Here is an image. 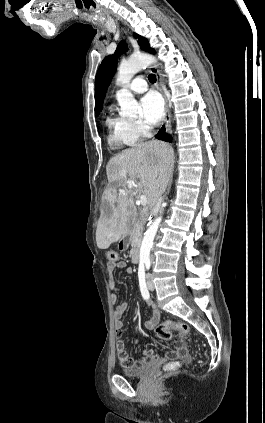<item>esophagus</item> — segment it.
Listing matches in <instances>:
<instances>
[{
	"mask_svg": "<svg viewBox=\"0 0 265 423\" xmlns=\"http://www.w3.org/2000/svg\"><path fill=\"white\" fill-rule=\"evenodd\" d=\"M149 70L156 76L157 78V87L159 89V91L161 92V94L164 97V101H165V118H164V124H165V128L166 131L168 133H171V115H170V110H169V106H168V101L166 98V94L162 88V81H161V75L158 71V69L154 66V65H150L149 66Z\"/></svg>",
	"mask_w": 265,
	"mask_h": 423,
	"instance_id": "1",
	"label": "esophagus"
}]
</instances>
